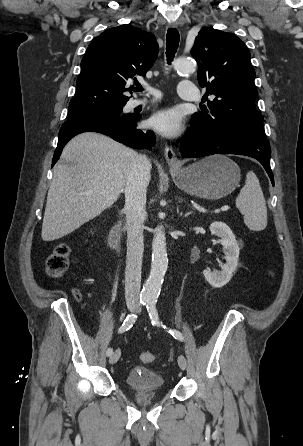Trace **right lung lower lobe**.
I'll list each match as a JSON object with an SVG mask.
<instances>
[{
  "label": "right lung lower lobe",
  "mask_w": 303,
  "mask_h": 446,
  "mask_svg": "<svg viewBox=\"0 0 303 446\" xmlns=\"http://www.w3.org/2000/svg\"><path fill=\"white\" fill-rule=\"evenodd\" d=\"M141 115H114L92 112L67 118L59 131L58 145L55 150L52 167L58 161L65 144L75 135L82 132H98L110 136L127 146L150 149L155 144L152 132H144L136 128Z\"/></svg>",
  "instance_id": "98d812e1"
}]
</instances>
